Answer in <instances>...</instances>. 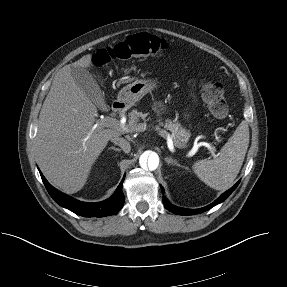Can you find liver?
<instances>
[{
  "instance_id": "obj_1",
  "label": "liver",
  "mask_w": 287,
  "mask_h": 287,
  "mask_svg": "<svg viewBox=\"0 0 287 287\" xmlns=\"http://www.w3.org/2000/svg\"><path fill=\"white\" fill-rule=\"evenodd\" d=\"M92 66V55L65 65L55 75L39 115L35 150L47 180L73 194L85 185L96 159L117 129L94 127L97 108L76 85L71 67Z\"/></svg>"
}]
</instances>
